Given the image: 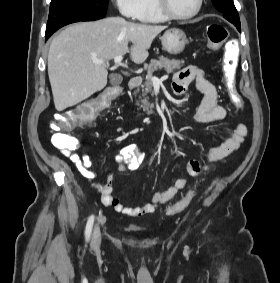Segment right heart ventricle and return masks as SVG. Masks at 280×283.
<instances>
[{"label": "right heart ventricle", "instance_id": "right-heart-ventricle-1", "mask_svg": "<svg viewBox=\"0 0 280 283\" xmlns=\"http://www.w3.org/2000/svg\"><path fill=\"white\" fill-rule=\"evenodd\" d=\"M166 19L159 13L155 0H143V11L139 21L143 23H160Z\"/></svg>", "mask_w": 280, "mask_h": 283}]
</instances>
